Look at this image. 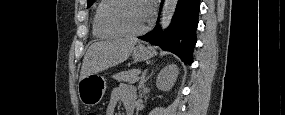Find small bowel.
Here are the masks:
<instances>
[{
  "mask_svg": "<svg viewBox=\"0 0 285 115\" xmlns=\"http://www.w3.org/2000/svg\"><path fill=\"white\" fill-rule=\"evenodd\" d=\"M134 97L132 90L126 86L114 88L107 104L106 115H114L119 103L123 104L127 114H132Z\"/></svg>",
  "mask_w": 285,
  "mask_h": 115,
  "instance_id": "small-bowel-1",
  "label": "small bowel"
}]
</instances>
